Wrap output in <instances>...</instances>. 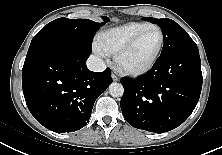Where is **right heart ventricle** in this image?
Returning a JSON list of instances; mask_svg holds the SVG:
<instances>
[{"label": "right heart ventricle", "mask_w": 222, "mask_h": 155, "mask_svg": "<svg viewBox=\"0 0 222 155\" xmlns=\"http://www.w3.org/2000/svg\"><path fill=\"white\" fill-rule=\"evenodd\" d=\"M152 25L149 22H127L112 27L99 34L98 44L107 54H116L136 34Z\"/></svg>", "instance_id": "e07e8e85"}]
</instances>
